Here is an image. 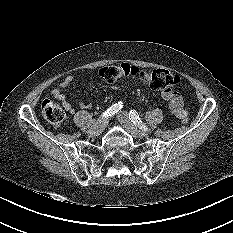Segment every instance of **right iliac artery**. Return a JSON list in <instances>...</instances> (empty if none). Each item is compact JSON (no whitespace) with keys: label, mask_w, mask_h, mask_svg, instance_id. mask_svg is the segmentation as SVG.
<instances>
[{"label":"right iliac artery","mask_w":233,"mask_h":233,"mask_svg":"<svg viewBox=\"0 0 233 233\" xmlns=\"http://www.w3.org/2000/svg\"><path fill=\"white\" fill-rule=\"evenodd\" d=\"M123 107V103L120 101L118 103H115L110 108H108L105 112H103L102 117H109L114 114H116L118 111H120Z\"/></svg>","instance_id":"right-iliac-artery-1"}]
</instances>
